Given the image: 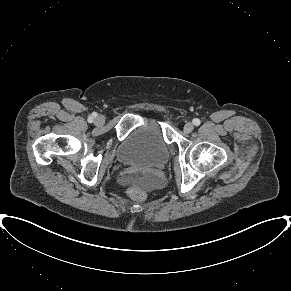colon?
Listing matches in <instances>:
<instances>
[{"label": "colon", "mask_w": 291, "mask_h": 291, "mask_svg": "<svg viewBox=\"0 0 291 291\" xmlns=\"http://www.w3.org/2000/svg\"><path fill=\"white\" fill-rule=\"evenodd\" d=\"M141 179L140 175L135 177V181H139ZM129 195L136 201H143L146 198V194L143 189H141L138 185L133 184L128 188Z\"/></svg>", "instance_id": "colon-1"}]
</instances>
